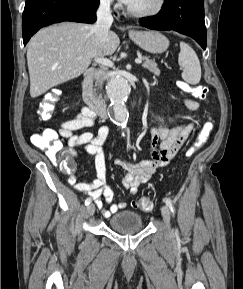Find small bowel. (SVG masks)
Instances as JSON below:
<instances>
[{"label": "small bowel", "instance_id": "c3829d8e", "mask_svg": "<svg viewBox=\"0 0 243 289\" xmlns=\"http://www.w3.org/2000/svg\"><path fill=\"white\" fill-rule=\"evenodd\" d=\"M183 103L191 111L197 110L199 107V103L190 98L185 99ZM96 118L97 116L92 110L83 107L77 115L63 121L55 132L59 137L67 140L68 151L73 157L77 156L76 149L79 147L94 157L96 179L77 182L76 176L72 174L68 181L77 191L85 193L88 198L92 199L102 211L103 216L108 218L127 207V202L123 200L113 203L114 193L105 184L106 163L102 146L108 137L109 129L107 126H101L96 133L88 131L76 133L78 130L95 125ZM193 129V123H180L173 128L152 127L150 129L151 157L149 159L131 163L119 157L115 161L123 170V187L131 195H136L139 187L147 183L159 168L170 163ZM102 197L110 205L109 208L103 207Z\"/></svg>", "mask_w": 243, "mask_h": 289}]
</instances>
